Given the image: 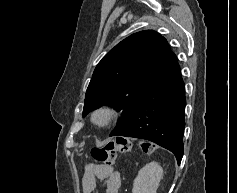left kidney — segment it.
I'll return each mask as SVG.
<instances>
[{
	"label": "left kidney",
	"mask_w": 237,
	"mask_h": 193,
	"mask_svg": "<svg viewBox=\"0 0 237 193\" xmlns=\"http://www.w3.org/2000/svg\"><path fill=\"white\" fill-rule=\"evenodd\" d=\"M163 168L157 162L146 164L134 180L132 193H157Z\"/></svg>",
	"instance_id": "1"
}]
</instances>
